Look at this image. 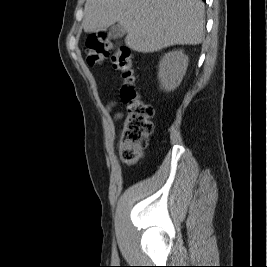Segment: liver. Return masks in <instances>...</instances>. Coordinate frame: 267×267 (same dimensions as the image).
<instances>
[{
  "label": "liver",
  "mask_w": 267,
  "mask_h": 267,
  "mask_svg": "<svg viewBox=\"0 0 267 267\" xmlns=\"http://www.w3.org/2000/svg\"><path fill=\"white\" fill-rule=\"evenodd\" d=\"M116 22L126 30L125 44L137 52L197 45L204 39L205 5L201 0H86V33Z\"/></svg>",
  "instance_id": "obj_1"
}]
</instances>
